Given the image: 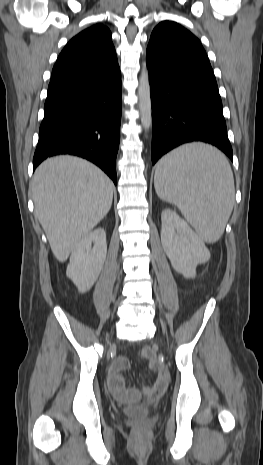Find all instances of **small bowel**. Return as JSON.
I'll return each mask as SVG.
<instances>
[{
  "label": "small bowel",
  "instance_id": "obj_1",
  "mask_svg": "<svg viewBox=\"0 0 263 465\" xmlns=\"http://www.w3.org/2000/svg\"><path fill=\"white\" fill-rule=\"evenodd\" d=\"M129 362L126 358H117L110 367L108 375V386L114 397L119 401H128L139 397L140 393L135 389H127L125 387V381L121 372L127 369ZM157 378L155 383L145 388V393L151 396H157L164 392L167 382L168 375L164 369L157 368Z\"/></svg>",
  "mask_w": 263,
  "mask_h": 465
}]
</instances>
